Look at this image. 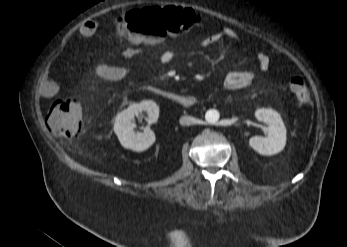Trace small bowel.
I'll use <instances>...</instances> for the list:
<instances>
[{
  "mask_svg": "<svg viewBox=\"0 0 347 247\" xmlns=\"http://www.w3.org/2000/svg\"><path fill=\"white\" fill-rule=\"evenodd\" d=\"M97 30V23L94 20H87L76 30V33L82 38L91 37ZM222 40L240 41L239 34L231 28H223L216 33L207 36L203 41L205 47L213 46ZM139 41H132L131 46L122 49V55L125 58H135L142 51L138 48ZM174 58V54L170 50L163 51L159 59L162 63H170ZM257 63L262 71H266L270 67V58L267 54L261 52L257 55ZM95 73L98 77L106 81H120L128 78L132 73V68L123 65H111L108 63H97ZM256 82V75L251 70L231 71L224 77L223 83L228 90H240L253 85ZM40 89L44 96L51 97L58 92V84L54 81L51 71L46 70L40 79Z\"/></svg>",
  "mask_w": 347,
  "mask_h": 247,
  "instance_id": "1",
  "label": "small bowel"
}]
</instances>
